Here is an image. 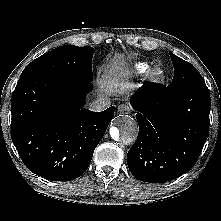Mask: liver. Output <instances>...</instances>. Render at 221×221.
Wrapping results in <instances>:
<instances>
[{"mask_svg": "<svg viewBox=\"0 0 221 221\" xmlns=\"http://www.w3.org/2000/svg\"><path fill=\"white\" fill-rule=\"evenodd\" d=\"M130 71L122 55L116 54L106 72L98 80L97 94L101 98L111 95H128L135 85L128 81Z\"/></svg>", "mask_w": 221, "mask_h": 221, "instance_id": "1", "label": "liver"}]
</instances>
